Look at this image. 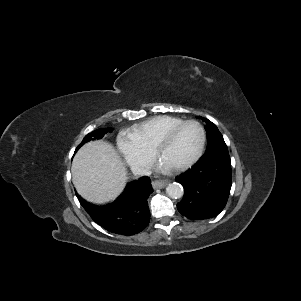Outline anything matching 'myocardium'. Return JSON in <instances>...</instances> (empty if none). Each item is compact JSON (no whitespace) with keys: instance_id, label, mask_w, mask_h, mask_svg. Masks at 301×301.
Segmentation results:
<instances>
[{"instance_id":"myocardium-1","label":"myocardium","mask_w":301,"mask_h":301,"mask_svg":"<svg viewBox=\"0 0 301 301\" xmlns=\"http://www.w3.org/2000/svg\"><path fill=\"white\" fill-rule=\"evenodd\" d=\"M188 124H194L199 128V130H200L199 146H198L197 151L195 152V154L188 161L184 162L183 164L171 167V169L175 170V171H181V170H185V169L191 167L201 157V155L203 153V150H204L205 142H206V132H205V128L203 127V125L197 120H193V119L184 120L180 124L174 126L170 130L163 133L157 139V141L155 142L154 147H153L154 155L156 156V158L158 160H160L161 159V150H162V148L167 143H169L184 126H186Z\"/></svg>"}]
</instances>
